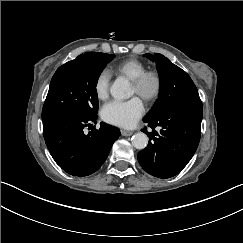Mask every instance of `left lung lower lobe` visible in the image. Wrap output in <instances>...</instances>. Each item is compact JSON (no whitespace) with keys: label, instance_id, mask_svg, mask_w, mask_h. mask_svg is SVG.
Returning a JSON list of instances; mask_svg holds the SVG:
<instances>
[{"label":"left lung lower lobe","instance_id":"0a47b994","mask_svg":"<svg viewBox=\"0 0 243 243\" xmlns=\"http://www.w3.org/2000/svg\"><path fill=\"white\" fill-rule=\"evenodd\" d=\"M202 117V102L188 100L170 106L152 121H144L153 133L143 130L149 136V143L137 154L142 168L158 178L177 175L198 147ZM157 126L160 133L154 131Z\"/></svg>","mask_w":243,"mask_h":243}]
</instances>
